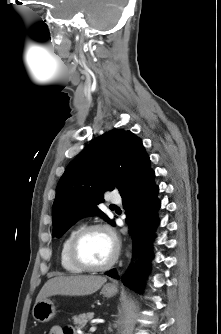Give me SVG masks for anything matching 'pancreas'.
<instances>
[{"label":"pancreas","instance_id":"1","mask_svg":"<svg viewBox=\"0 0 221 334\" xmlns=\"http://www.w3.org/2000/svg\"><path fill=\"white\" fill-rule=\"evenodd\" d=\"M94 314L93 313H83L78 316H74L73 323L76 325L78 329H82L85 327L87 322L93 318Z\"/></svg>","mask_w":221,"mask_h":334}]
</instances>
